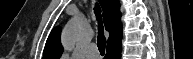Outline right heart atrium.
<instances>
[{"label":"right heart atrium","mask_w":193,"mask_h":59,"mask_svg":"<svg viewBox=\"0 0 193 59\" xmlns=\"http://www.w3.org/2000/svg\"><path fill=\"white\" fill-rule=\"evenodd\" d=\"M61 59H72L68 54H62Z\"/></svg>","instance_id":"d8ad5b80"}]
</instances>
